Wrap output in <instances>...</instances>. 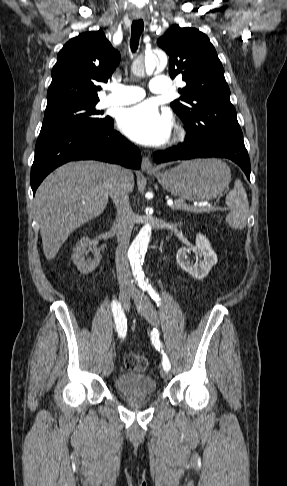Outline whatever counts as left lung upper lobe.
<instances>
[{"label":"left lung upper lobe","instance_id":"obj_1","mask_svg":"<svg viewBox=\"0 0 287 486\" xmlns=\"http://www.w3.org/2000/svg\"><path fill=\"white\" fill-rule=\"evenodd\" d=\"M157 44L169 55L171 78L182 75L186 82L170 105L187 136L244 145L224 69L209 38L195 28L172 25Z\"/></svg>","mask_w":287,"mask_h":486}]
</instances>
